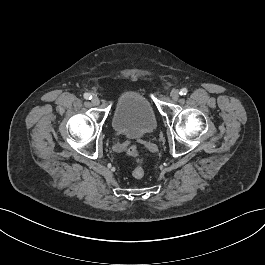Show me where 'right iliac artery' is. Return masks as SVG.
Returning <instances> with one entry per match:
<instances>
[{
    "mask_svg": "<svg viewBox=\"0 0 265 265\" xmlns=\"http://www.w3.org/2000/svg\"><path fill=\"white\" fill-rule=\"evenodd\" d=\"M84 98L85 99H87V100H90V99H92V95L91 94H89V93H84Z\"/></svg>",
    "mask_w": 265,
    "mask_h": 265,
    "instance_id": "1",
    "label": "right iliac artery"
}]
</instances>
